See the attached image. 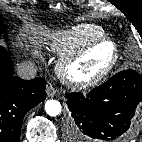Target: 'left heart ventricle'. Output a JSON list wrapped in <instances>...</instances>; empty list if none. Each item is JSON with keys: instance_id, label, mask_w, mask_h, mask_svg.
Here are the masks:
<instances>
[{"instance_id": "1", "label": "left heart ventricle", "mask_w": 142, "mask_h": 142, "mask_svg": "<svg viewBox=\"0 0 142 142\" xmlns=\"http://www.w3.org/2000/svg\"><path fill=\"white\" fill-rule=\"evenodd\" d=\"M111 48L103 45L90 53L78 65L73 68L77 77L86 78L98 72L110 59Z\"/></svg>"}]
</instances>
